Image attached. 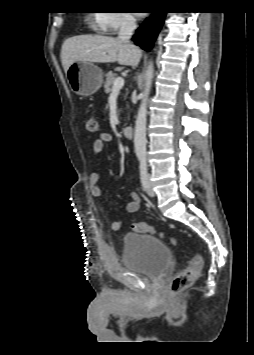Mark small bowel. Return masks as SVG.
<instances>
[{
    "label": "small bowel",
    "mask_w": 254,
    "mask_h": 355,
    "mask_svg": "<svg viewBox=\"0 0 254 355\" xmlns=\"http://www.w3.org/2000/svg\"><path fill=\"white\" fill-rule=\"evenodd\" d=\"M112 141V136L109 133H101L98 138L92 144V153L94 155L100 154L107 143ZM99 174L96 171H92L89 175V189L93 197L102 200V191L98 186ZM141 204L140 195L132 191L130 193V200L126 205V211L128 213H135L139 210ZM111 229L113 231H120L122 228V223L120 221H112Z\"/></svg>",
    "instance_id": "obj_1"
}]
</instances>
